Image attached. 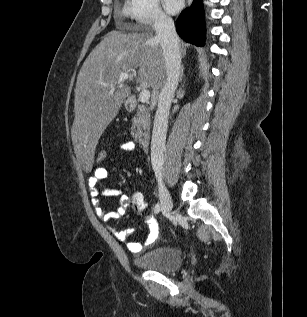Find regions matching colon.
I'll return each mask as SVG.
<instances>
[{
    "label": "colon",
    "mask_w": 307,
    "mask_h": 317,
    "mask_svg": "<svg viewBox=\"0 0 307 317\" xmlns=\"http://www.w3.org/2000/svg\"><path fill=\"white\" fill-rule=\"evenodd\" d=\"M107 159V151L103 148H99L95 152V161L98 164H102ZM129 204L135 210V212L143 217H147L146 209L147 204L143 195L140 192H135L129 197Z\"/></svg>",
    "instance_id": "colon-1"
}]
</instances>
